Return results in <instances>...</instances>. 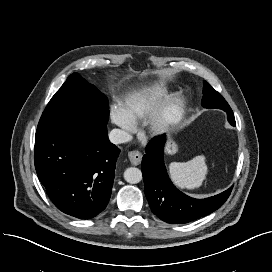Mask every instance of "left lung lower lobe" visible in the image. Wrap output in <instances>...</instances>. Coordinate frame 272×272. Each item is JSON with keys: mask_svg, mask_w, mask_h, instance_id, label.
<instances>
[{"mask_svg": "<svg viewBox=\"0 0 272 272\" xmlns=\"http://www.w3.org/2000/svg\"><path fill=\"white\" fill-rule=\"evenodd\" d=\"M228 121L235 126L232 110H226ZM165 135L153 138L142 159L145 195L152 212L171 224H183L204 217L220 208L228 199L232 187L205 199L191 198L180 192L170 181L163 160Z\"/></svg>", "mask_w": 272, "mask_h": 272, "instance_id": "0a47b994", "label": "left lung lower lobe"}]
</instances>
